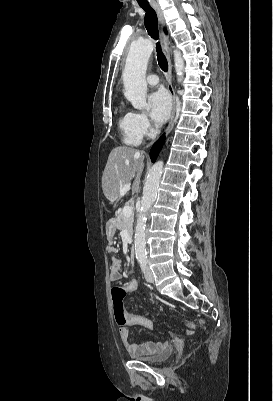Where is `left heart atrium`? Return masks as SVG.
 I'll list each match as a JSON object with an SVG mask.
<instances>
[{
    "label": "left heart atrium",
    "instance_id": "39dd6f15",
    "mask_svg": "<svg viewBox=\"0 0 273 401\" xmlns=\"http://www.w3.org/2000/svg\"><path fill=\"white\" fill-rule=\"evenodd\" d=\"M149 115L156 124H163L169 116L171 103L163 92H155L148 96Z\"/></svg>",
    "mask_w": 273,
    "mask_h": 401
}]
</instances>
